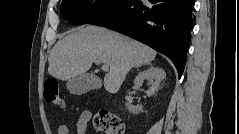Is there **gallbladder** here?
<instances>
[{
	"mask_svg": "<svg viewBox=\"0 0 239 134\" xmlns=\"http://www.w3.org/2000/svg\"><path fill=\"white\" fill-rule=\"evenodd\" d=\"M66 86L70 93L82 95L90 90L99 88L100 81L95 75L84 73L69 79Z\"/></svg>",
	"mask_w": 239,
	"mask_h": 134,
	"instance_id": "gallbladder-1",
	"label": "gallbladder"
}]
</instances>
